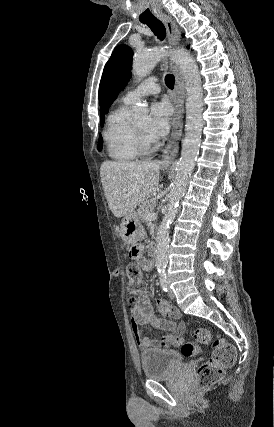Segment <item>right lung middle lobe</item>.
Segmentation results:
<instances>
[{
	"mask_svg": "<svg viewBox=\"0 0 274 427\" xmlns=\"http://www.w3.org/2000/svg\"><path fill=\"white\" fill-rule=\"evenodd\" d=\"M102 145H103V143H102V139H101V137L99 138V141H98V146H97V148H98V150L99 151H101V149H102Z\"/></svg>",
	"mask_w": 274,
	"mask_h": 427,
	"instance_id": "right-lung-middle-lobe-1",
	"label": "right lung middle lobe"
}]
</instances>
